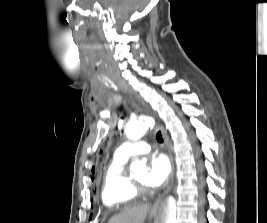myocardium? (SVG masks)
Here are the masks:
<instances>
[{
	"label": "myocardium",
	"mask_w": 267,
	"mask_h": 223,
	"mask_svg": "<svg viewBox=\"0 0 267 223\" xmlns=\"http://www.w3.org/2000/svg\"><path fill=\"white\" fill-rule=\"evenodd\" d=\"M129 183L136 196H144L149 192L145 185L137 183L134 179L129 178Z\"/></svg>",
	"instance_id": "myocardium-1"
}]
</instances>
